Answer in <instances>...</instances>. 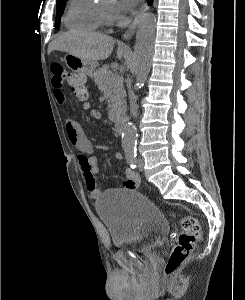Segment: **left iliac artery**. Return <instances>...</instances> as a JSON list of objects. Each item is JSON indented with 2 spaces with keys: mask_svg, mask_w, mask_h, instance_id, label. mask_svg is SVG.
Segmentation results:
<instances>
[{
  "mask_svg": "<svg viewBox=\"0 0 245 300\" xmlns=\"http://www.w3.org/2000/svg\"><path fill=\"white\" fill-rule=\"evenodd\" d=\"M126 153V160L127 163L131 166V168H136V156H137V150L136 146H129L125 148Z\"/></svg>",
  "mask_w": 245,
  "mask_h": 300,
  "instance_id": "44dca946",
  "label": "left iliac artery"
}]
</instances>
